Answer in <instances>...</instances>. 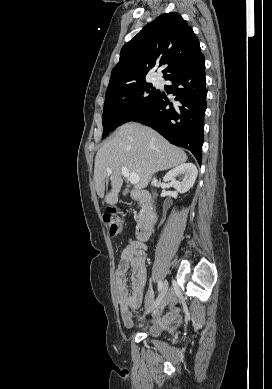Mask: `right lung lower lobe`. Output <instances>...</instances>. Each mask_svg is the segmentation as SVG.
<instances>
[{
  "instance_id": "1",
  "label": "right lung lower lobe",
  "mask_w": 272,
  "mask_h": 389,
  "mask_svg": "<svg viewBox=\"0 0 272 389\" xmlns=\"http://www.w3.org/2000/svg\"><path fill=\"white\" fill-rule=\"evenodd\" d=\"M204 56L170 74L172 82L167 90L177 102L170 103L160 92L156 100L132 121L145 124L158 131L169 142L190 150L201 163L204 114L206 110Z\"/></svg>"
}]
</instances>
